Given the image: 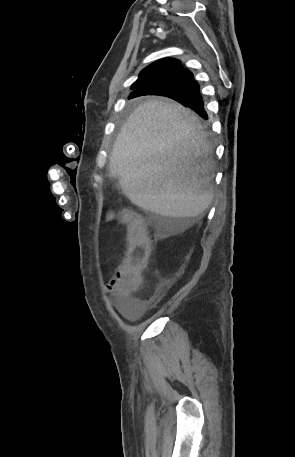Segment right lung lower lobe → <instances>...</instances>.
I'll return each instance as SVG.
<instances>
[{"instance_id": "98d812e1", "label": "right lung lower lobe", "mask_w": 295, "mask_h": 457, "mask_svg": "<svg viewBox=\"0 0 295 457\" xmlns=\"http://www.w3.org/2000/svg\"><path fill=\"white\" fill-rule=\"evenodd\" d=\"M166 89L174 90V95L170 96V98L186 104L195 110L201 117L207 119V114L204 110L203 101L199 91V85L193 79L192 73L187 69H183L182 72L173 80L138 89L132 92L129 98L151 94L156 95L155 91Z\"/></svg>"}]
</instances>
